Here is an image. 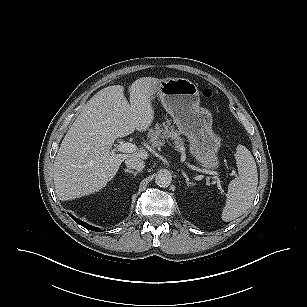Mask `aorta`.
Masks as SVG:
<instances>
[{
    "label": "aorta",
    "mask_w": 307,
    "mask_h": 307,
    "mask_svg": "<svg viewBox=\"0 0 307 307\" xmlns=\"http://www.w3.org/2000/svg\"><path fill=\"white\" fill-rule=\"evenodd\" d=\"M172 181V175L169 170L161 169L157 172L155 177V183L159 187H168Z\"/></svg>",
    "instance_id": "1"
}]
</instances>
